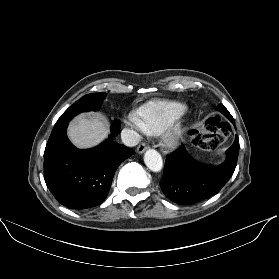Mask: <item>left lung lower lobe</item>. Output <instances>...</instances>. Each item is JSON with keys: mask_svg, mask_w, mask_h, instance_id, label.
Listing matches in <instances>:
<instances>
[{"mask_svg": "<svg viewBox=\"0 0 279 279\" xmlns=\"http://www.w3.org/2000/svg\"><path fill=\"white\" fill-rule=\"evenodd\" d=\"M233 124L234 121L230 119ZM239 138L226 151L218 166L200 165L191 160L181 145L167 156L160 186L165 196L180 205L194 204L217 194L232 176L238 159Z\"/></svg>", "mask_w": 279, "mask_h": 279, "instance_id": "0a47b994", "label": "left lung lower lobe"}]
</instances>
